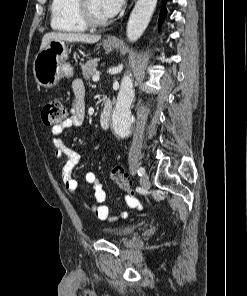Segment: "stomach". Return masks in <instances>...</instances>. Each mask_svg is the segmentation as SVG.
<instances>
[{
    "mask_svg": "<svg viewBox=\"0 0 247 296\" xmlns=\"http://www.w3.org/2000/svg\"><path fill=\"white\" fill-rule=\"evenodd\" d=\"M102 46L108 52L115 48L108 41H103ZM33 74L36 83L44 88H52L62 77L73 75V68L68 63V47L64 41H51L39 51L33 62Z\"/></svg>",
    "mask_w": 247,
    "mask_h": 296,
    "instance_id": "1",
    "label": "stomach"
}]
</instances>
